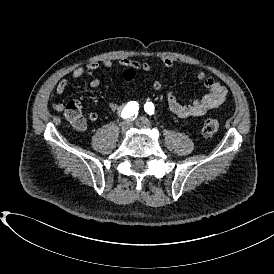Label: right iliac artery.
I'll use <instances>...</instances> for the list:
<instances>
[{"mask_svg":"<svg viewBox=\"0 0 274 274\" xmlns=\"http://www.w3.org/2000/svg\"><path fill=\"white\" fill-rule=\"evenodd\" d=\"M138 108V103L135 101H131L124 107L121 116L124 119L134 120L138 115Z\"/></svg>","mask_w":274,"mask_h":274,"instance_id":"right-iliac-artery-1","label":"right iliac artery"}]
</instances>
